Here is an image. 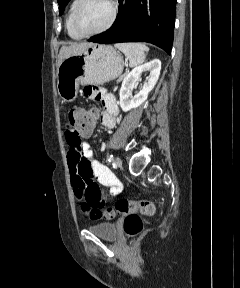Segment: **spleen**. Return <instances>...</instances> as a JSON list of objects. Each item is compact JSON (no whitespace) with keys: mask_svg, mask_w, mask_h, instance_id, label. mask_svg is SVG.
<instances>
[{"mask_svg":"<svg viewBox=\"0 0 240 288\" xmlns=\"http://www.w3.org/2000/svg\"><path fill=\"white\" fill-rule=\"evenodd\" d=\"M118 48L129 60L130 67H136L145 61L149 48L143 43H117Z\"/></svg>","mask_w":240,"mask_h":288,"instance_id":"3e777b00","label":"spleen"}]
</instances>
